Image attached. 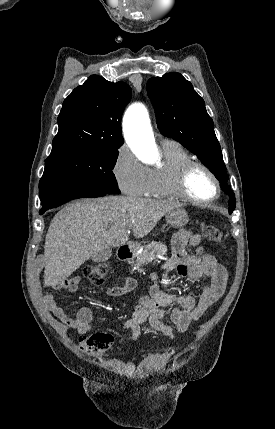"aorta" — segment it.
<instances>
[{
	"mask_svg": "<svg viewBox=\"0 0 275 429\" xmlns=\"http://www.w3.org/2000/svg\"><path fill=\"white\" fill-rule=\"evenodd\" d=\"M123 130L128 146L138 158L148 163H154L158 159L149 114L142 104H134L126 111Z\"/></svg>",
	"mask_w": 275,
	"mask_h": 429,
	"instance_id": "aorta-1",
	"label": "aorta"
}]
</instances>
